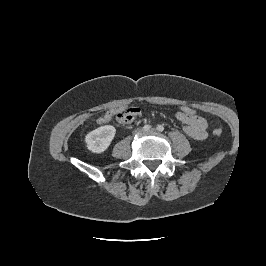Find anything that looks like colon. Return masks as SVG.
I'll use <instances>...</instances> for the list:
<instances>
[{"mask_svg": "<svg viewBox=\"0 0 266 266\" xmlns=\"http://www.w3.org/2000/svg\"><path fill=\"white\" fill-rule=\"evenodd\" d=\"M179 112L188 117H193L198 115L196 109L188 105L181 106ZM115 118L119 123H128L133 118V112L131 108H129L124 111L116 113ZM213 134L216 136H220L222 134V130L220 128H216L213 130Z\"/></svg>", "mask_w": 266, "mask_h": 266, "instance_id": "obj_1", "label": "colon"}]
</instances>
